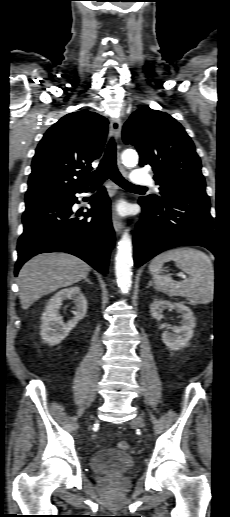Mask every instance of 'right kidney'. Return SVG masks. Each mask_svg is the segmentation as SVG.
I'll list each match as a JSON object with an SVG mask.
<instances>
[{
	"label": "right kidney",
	"instance_id": "ca27d5eb",
	"mask_svg": "<svg viewBox=\"0 0 230 517\" xmlns=\"http://www.w3.org/2000/svg\"><path fill=\"white\" fill-rule=\"evenodd\" d=\"M64 300H72L75 304L74 317L67 323L63 322L60 308ZM87 312V300L80 287H70L57 292L48 302L42 314L40 336L43 343L50 346L59 344L77 325L78 321L85 317Z\"/></svg>",
	"mask_w": 230,
	"mask_h": 517
}]
</instances>
